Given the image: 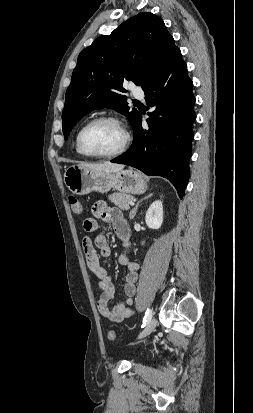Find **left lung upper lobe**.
Listing matches in <instances>:
<instances>
[{"instance_id": "1", "label": "left lung upper lobe", "mask_w": 253, "mask_h": 413, "mask_svg": "<svg viewBox=\"0 0 253 413\" xmlns=\"http://www.w3.org/2000/svg\"><path fill=\"white\" fill-rule=\"evenodd\" d=\"M178 49L161 18L142 12L98 37L78 56L65 95L62 124L65 140L72 127L95 109L112 108L128 117L136 129L140 113L128 107L123 82L145 90Z\"/></svg>"}]
</instances>
